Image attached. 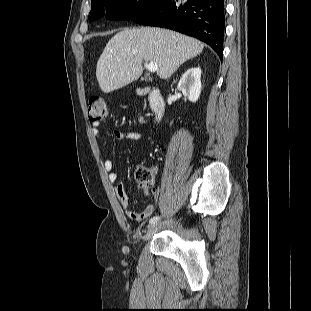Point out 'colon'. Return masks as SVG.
I'll return each instance as SVG.
<instances>
[{
  "label": "colon",
  "instance_id": "colon-1",
  "mask_svg": "<svg viewBox=\"0 0 311 311\" xmlns=\"http://www.w3.org/2000/svg\"><path fill=\"white\" fill-rule=\"evenodd\" d=\"M107 117L106 103L101 97H93L89 100L88 104V118L92 122L103 121ZM137 179L147 184L152 179L151 174L147 170H138L136 172Z\"/></svg>",
  "mask_w": 311,
  "mask_h": 311
}]
</instances>
